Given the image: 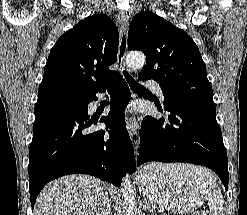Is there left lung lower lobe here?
I'll return each instance as SVG.
<instances>
[{
	"label": "left lung lower lobe",
	"instance_id": "0a47b994",
	"mask_svg": "<svg viewBox=\"0 0 247 215\" xmlns=\"http://www.w3.org/2000/svg\"><path fill=\"white\" fill-rule=\"evenodd\" d=\"M138 78L147 80L139 75ZM164 109L170 112L166 118H143L137 166L149 161L203 165L213 170L227 189V153L215 106L177 102Z\"/></svg>",
	"mask_w": 247,
	"mask_h": 215
}]
</instances>
